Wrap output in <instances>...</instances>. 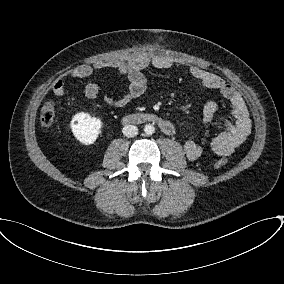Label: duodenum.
Returning a JSON list of instances; mask_svg holds the SVG:
<instances>
[{
  "mask_svg": "<svg viewBox=\"0 0 284 284\" xmlns=\"http://www.w3.org/2000/svg\"><path fill=\"white\" fill-rule=\"evenodd\" d=\"M123 123L126 125H135L143 123L157 124L161 131L171 135L174 133V126L169 120L163 119L155 113H133L123 117Z\"/></svg>",
  "mask_w": 284,
  "mask_h": 284,
  "instance_id": "obj_1",
  "label": "duodenum"
}]
</instances>
